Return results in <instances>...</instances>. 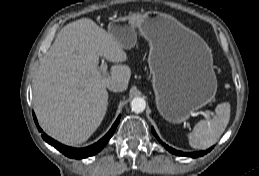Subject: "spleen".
Wrapping results in <instances>:
<instances>
[{"label": "spleen", "instance_id": "obj_1", "mask_svg": "<svg viewBox=\"0 0 259 176\" xmlns=\"http://www.w3.org/2000/svg\"><path fill=\"white\" fill-rule=\"evenodd\" d=\"M230 119V104H218L212 119L199 121L194 130L188 134L192 148L204 150L215 144L225 131Z\"/></svg>", "mask_w": 259, "mask_h": 176}]
</instances>
